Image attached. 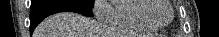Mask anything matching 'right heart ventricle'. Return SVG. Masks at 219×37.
Returning <instances> with one entry per match:
<instances>
[{"mask_svg": "<svg viewBox=\"0 0 219 37\" xmlns=\"http://www.w3.org/2000/svg\"><path fill=\"white\" fill-rule=\"evenodd\" d=\"M143 6V0L118 1L112 26L142 32H156L159 28L150 25L141 16Z\"/></svg>", "mask_w": 219, "mask_h": 37, "instance_id": "e07e8e85", "label": "right heart ventricle"}]
</instances>
